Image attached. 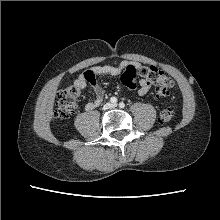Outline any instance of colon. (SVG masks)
I'll return each mask as SVG.
<instances>
[{
    "instance_id": "5ec220e1",
    "label": "colon",
    "mask_w": 220,
    "mask_h": 220,
    "mask_svg": "<svg viewBox=\"0 0 220 220\" xmlns=\"http://www.w3.org/2000/svg\"><path fill=\"white\" fill-rule=\"evenodd\" d=\"M138 78H142L154 85L160 96H167L173 85L172 79L169 76L152 65L139 67L132 64L127 65L121 76V81L125 87L134 89L137 85ZM80 92L81 90L77 86H68L59 92L57 97V109L55 111V115L58 118L64 119L71 115L80 97ZM174 114L175 109L173 107H167L160 113L159 120L162 123H167L172 120Z\"/></svg>"
}]
</instances>
